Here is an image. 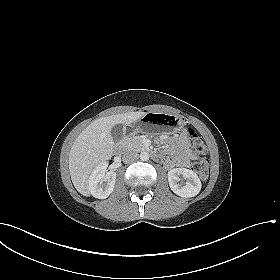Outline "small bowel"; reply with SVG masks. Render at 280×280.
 <instances>
[{
  "mask_svg": "<svg viewBox=\"0 0 280 280\" xmlns=\"http://www.w3.org/2000/svg\"><path fill=\"white\" fill-rule=\"evenodd\" d=\"M167 151L170 157L163 160L166 169L188 167L190 163L196 159V156L190 150L186 130L183 131L176 140L171 142Z\"/></svg>",
  "mask_w": 280,
  "mask_h": 280,
  "instance_id": "small-bowel-1",
  "label": "small bowel"
}]
</instances>
